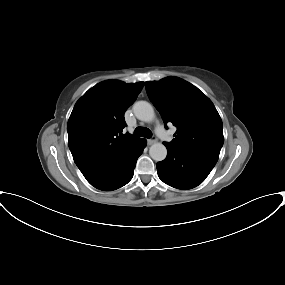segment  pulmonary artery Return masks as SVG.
I'll return each mask as SVG.
<instances>
[{"mask_svg":"<svg viewBox=\"0 0 285 285\" xmlns=\"http://www.w3.org/2000/svg\"><path fill=\"white\" fill-rule=\"evenodd\" d=\"M156 133H157L163 140H165L166 142H168V143L171 142L172 137H171V135L168 133V131H166V130L164 129L163 126L158 125V126L156 127Z\"/></svg>","mask_w":285,"mask_h":285,"instance_id":"obj_1","label":"pulmonary artery"}]
</instances>
